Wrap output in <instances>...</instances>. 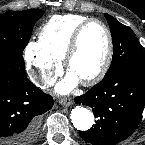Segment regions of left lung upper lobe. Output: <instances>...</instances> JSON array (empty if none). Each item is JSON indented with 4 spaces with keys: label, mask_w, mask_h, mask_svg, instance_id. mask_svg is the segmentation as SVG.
I'll return each instance as SVG.
<instances>
[{
    "label": "left lung upper lobe",
    "mask_w": 145,
    "mask_h": 145,
    "mask_svg": "<svg viewBox=\"0 0 145 145\" xmlns=\"http://www.w3.org/2000/svg\"><path fill=\"white\" fill-rule=\"evenodd\" d=\"M113 39V58L105 77L124 69L145 72V53L136 35L109 14H105Z\"/></svg>",
    "instance_id": "1"
}]
</instances>
